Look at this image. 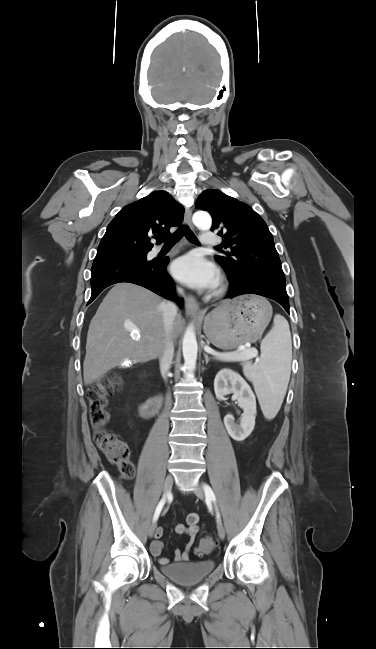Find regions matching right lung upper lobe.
I'll list each match as a JSON object with an SVG mask.
<instances>
[{"label":"right lung upper lobe","mask_w":376,"mask_h":649,"mask_svg":"<svg viewBox=\"0 0 376 649\" xmlns=\"http://www.w3.org/2000/svg\"><path fill=\"white\" fill-rule=\"evenodd\" d=\"M183 207L160 190L125 206L107 227L98 246L97 255L120 252L150 251L153 244L150 236L157 240L170 234V228L182 220Z\"/></svg>","instance_id":"obj_1"}]
</instances>
